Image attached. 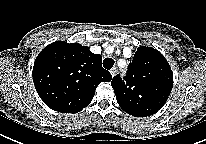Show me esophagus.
Masks as SVG:
<instances>
[{
  "mask_svg": "<svg viewBox=\"0 0 206 144\" xmlns=\"http://www.w3.org/2000/svg\"><path fill=\"white\" fill-rule=\"evenodd\" d=\"M110 73H111V76L114 77L117 73V69L116 67H113L111 70H110Z\"/></svg>",
  "mask_w": 206,
  "mask_h": 144,
  "instance_id": "34e87169",
  "label": "esophagus"
}]
</instances>
